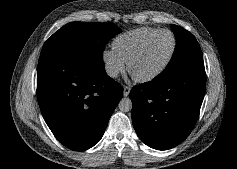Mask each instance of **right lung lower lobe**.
<instances>
[{
    "mask_svg": "<svg viewBox=\"0 0 237 169\" xmlns=\"http://www.w3.org/2000/svg\"><path fill=\"white\" fill-rule=\"evenodd\" d=\"M102 58L40 56L37 98L42 115L57 140L83 151L103 136L123 88L105 72Z\"/></svg>",
    "mask_w": 237,
    "mask_h": 169,
    "instance_id": "right-lung-lower-lobe-1",
    "label": "right lung lower lobe"
}]
</instances>
